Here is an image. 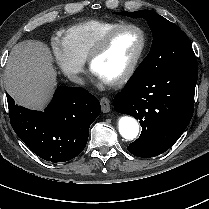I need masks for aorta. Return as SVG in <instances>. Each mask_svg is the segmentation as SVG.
<instances>
[{
  "label": "aorta",
  "instance_id": "762f6f07",
  "mask_svg": "<svg viewBox=\"0 0 209 209\" xmlns=\"http://www.w3.org/2000/svg\"><path fill=\"white\" fill-rule=\"evenodd\" d=\"M118 129L123 138L133 140L139 133V124L133 117L122 116L118 120Z\"/></svg>",
  "mask_w": 209,
  "mask_h": 209
}]
</instances>
